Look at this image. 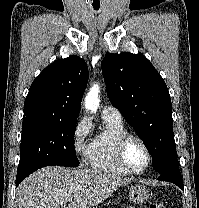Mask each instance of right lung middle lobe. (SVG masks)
<instances>
[{
  "label": "right lung middle lobe",
  "instance_id": "obj_1",
  "mask_svg": "<svg viewBox=\"0 0 199 208\" xmlns=\"http://www.w3.org/2000/svg\"><path fill=\"white\" fill-rule=\"evenodd\" d=\"M76 121L45 115L24 116L17 175L28 176L45 166H78L74 147Z\"/></svg>",
  "mask_w": 199,
  "mask_h": 208
}]
</instances>
